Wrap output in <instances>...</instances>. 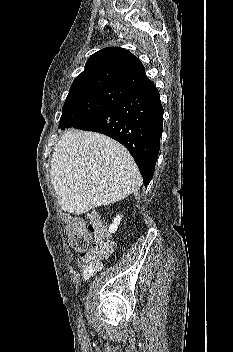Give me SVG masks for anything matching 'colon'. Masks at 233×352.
<instances>
[{
  "instance_id": "obj_1",
  "label": "colon",
  "mask_w": 233,
  "mask_h": 352,
  "mask_svg": "<svg viewBox=\"0 0 233 352\" xmlns=\"http://www.w3.org/2000/svg\"><path fill=\"white\" fill-rule=\"evenodd\" d=\"M66 232L71 248L79 253V264L83 276L86 278L92 276L100 269V261L106 258L114 248L106 227L96 215H92L88 224L77 220L69 222ZM93 235L95 241L91 243Z\"/></svg>"
}]
</instances>
